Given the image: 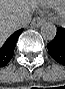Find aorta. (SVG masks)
I'll return each mask as SVG.
<instances>
[{
  "label": "aorta",
  "mask_w": 65,
  "mask_h": 89,
  "mask_svg": "<svg viewBox=\"0 0 65 89\" xmlns=\"http://www.w3.org/2000/svg\"><path fill=\"white\" fill-rule=\"evenodd\" d=\"M56 32L57 29L53 23L47 22L41 26V35L47 41L53 40L56 36Z\"/></svg>",
  "instance_id": "762f6f07"
}]
</instances>
